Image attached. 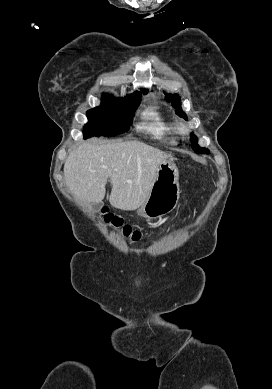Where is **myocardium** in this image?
<instances>
[{"instance_id":"myocardium-1","label":"myocardium","mask_w":272,"mask_h":389,"mask_svg":"<svg viewBox=\"0 0 272 389\" xmlns=\"http://www.w3.org/2000/svg\"><path fill=\"white\" fill-rule=\"evenodd\" d=\"M177 131L181 135H186L188 133V128L186 127L185 124L180 123L177 127Z\"/></svg>"}]
</instances>
